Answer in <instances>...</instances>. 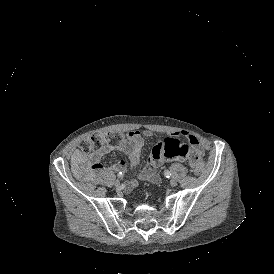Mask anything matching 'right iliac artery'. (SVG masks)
<instances>
[{
  "label": "right iliac artery",
  "mask_w": 274,
  "mask_h": 274,
  "mask_svg": "<svg viewBox=\"0 0 274 274\" xmlns=\"http://www.w3.org/2000/svg\"><path fill=\"white\" fill-rule=\"evenodd\" d=\"M117 176L120 178V177H123V173L122 172H119L118 174H117Z\"/></svg>",
  "instance_id": "82829eb1"
}]
</instances>
